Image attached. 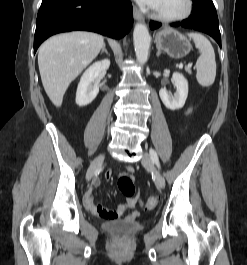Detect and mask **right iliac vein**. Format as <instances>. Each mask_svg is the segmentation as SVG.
<instances>
[{"label":"right iliac vein","mask_w":247,"mask_h":265,"mask_svg":"<svg viewBox=\"0 0 247 265\" xmlns=\"http://www.w3.org/2000/svg\"><path fill=\"white\" fill-rule=\"evenodd\" d=\"M104 157L105 155L101 154L93 160L87 172V180H91L93 178L97 170L101 167Z\"/></svg>","instance_id":"1"}]
</instances>
